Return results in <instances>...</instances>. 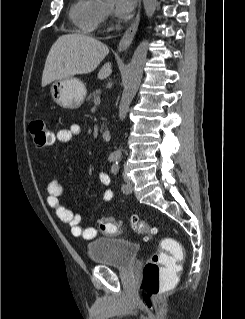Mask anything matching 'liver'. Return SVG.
Masks as SVG:
<instances>
[{"label":"liver","instance_id":"6515ba94","mask_svg":"<svg viewBox=\"0 0 245 319\" xmlns=\"http://www.w3.org/2000/svg\"><path fill=\"white\" fill-rule=\"evenodd\" d=\"M109 53L104 43L84 34H65L52 45L42 74V87L53 81L94 71ZM112 72L111 63L100 69L98 78L104 79Z\"/></svg>","mask_w":245,"mask_h":319}]
</instances>
